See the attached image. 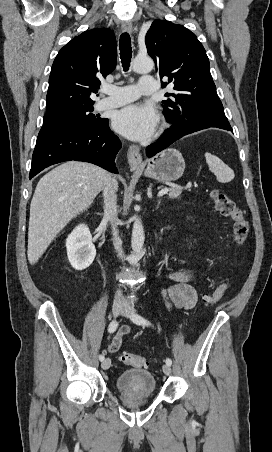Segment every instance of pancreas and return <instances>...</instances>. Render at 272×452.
Here are the masks:
<instances>
[{
    "label": "pancreas",
    "instance_id": "cf45deb5",
    "mask_svg": "<svg viewBox=\"0 0 272 452\" xmlns=\"http://www.w3.org/2000/svg\"><path fill=\"white\" fill-rule=\"evenodd\" d=\"M181 189H179V188H172L170 191H169V193H168V196H169V198H172V199H175V198H178L179 197V195L181 194Z\"/></svg>",
    "mask_w": 272,
    "mask_h": 452
}]
</instances>
